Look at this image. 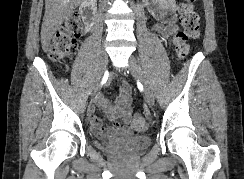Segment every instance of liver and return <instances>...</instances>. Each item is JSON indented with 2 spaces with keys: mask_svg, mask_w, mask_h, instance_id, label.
I'll list each match as a JSON object with an SVG mask.
<instances>
[{
  "mask_svg": "<svg viewBox=\"0 0 244 179\" xmlns=\"http://www.w3.org/2000/svg\"><path fill=\"white\" fill-rule=\"evenodd\" d=\"M83 0H45V14L41 28L42 50L48 52L50 42L65 18L78 8Z\"/></svg>",
  "mask_w": 244,
  "mask_h": 179,
  "instance_id": "1",
  "label": "liver"
}]
</instances>
